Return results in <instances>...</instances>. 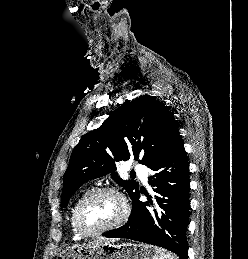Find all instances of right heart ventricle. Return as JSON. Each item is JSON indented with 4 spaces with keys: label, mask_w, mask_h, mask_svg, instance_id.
<instances>
[{
    "label": "right heart ventricle",
    "mask_w": 248,
    "mask_h": 259,
    "mask_svg": "<svg viewBox=\"0 0 248 259\" xmlns=\"http://www.w3.org/2000/svg\"><path fill=\"white\" fill-rule=\"evenodd\" d=\"M84 196V194H82L81 196L77 197V199L75 200L72 208H71V211H70V216H69V223H70V228H71V231L74 235L75 238L79 239L81 237H83V235L77 230L76 226H75V222H74V213H75V209H76V206L78 204V202L80 201V199Z\"/></svg>",
    "instance_id": "obj_1"
}]
</instances>
